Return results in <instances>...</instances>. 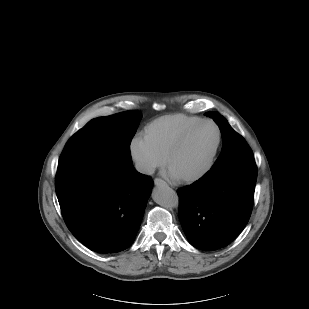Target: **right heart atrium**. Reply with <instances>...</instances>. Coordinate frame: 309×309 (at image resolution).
<instances>
[{
    "mask_svg": "<svg viewBox=\"0 0 309 309\" xmlns=\"http://www.w3.org/2000/svg\"><path fill=\"white\" fill-rule=\"evenodd\" d=\"M129 154L135 168L143 174L154 172L164 162V158L154 150L141 134H137L131 139Z\"/></svg>",
    "mask_w": 309,
    "mask_h": 309,
    "instance_id": "right-heart-atrium-1",
    "label": "right heart atrium"
}]
</instances>
